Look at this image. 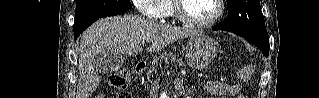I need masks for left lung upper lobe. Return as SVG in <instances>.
Wrapping results in <instances>:
<instances>
[{"instance_id":"left-lung-upper-lobe-1","label":"left lung upper lobe","mask_w":319,"mask_h":98,"mask_svg":"<svg viewBox=\"0 0 319 98\" xmlns=\"http://www.w3.org/2000/svg\"><path fill=\"white\" fill-rule=\"evenodd\" d=\"M229 12L224 21L217 24L222 30L244 38L269 41L259 0H226Z\"/></svg>"}]
</instances>
